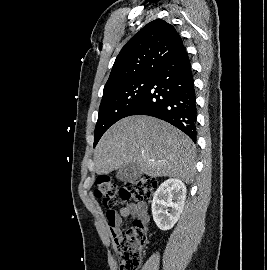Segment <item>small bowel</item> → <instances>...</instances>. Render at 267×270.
<instances>
[{"mask_svg":"<svg viewBox=\"0 0 267 270\" xmlns=\"http://www.w3.org/2000/svg\"><path fill=\"white\" fill-rule=\"evenodd\" d=\"M127 217H134L141 223L147 224L149 221L147 205L143 202L130 203L122 207L119 212L113 214L107 213V226L113 236L120 231L122 219Z\"/></svg>","mask_w":267,"mask_h":270,"instance_id":"obj_1","label":"small bowel"}]
</instances>
